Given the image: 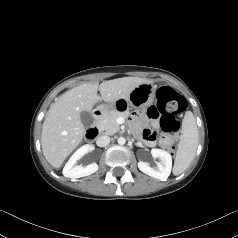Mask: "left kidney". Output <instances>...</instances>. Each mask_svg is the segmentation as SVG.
I'll use <instances>...</instances> for the list:
<instances>
[{"label": "left kidney", "mask_w": 238, "mask_h": 238, "mask_svg": "<svg viewBox=\"0 0 238 238\" xmlns=\"http://www.w3.org/2000/svg\"><path fill=\"white\" fill-rule=\"evenodd\" d=\"M151 154L153 158H158L159 162L157 163V166L152 168L147 162H139L138 168L143 173L159 179V180H166L172 169V158L171 155L164 150L161 149H152Z\"/></svg>", "instance_id": "left-kidney-1"}]
</instances>
